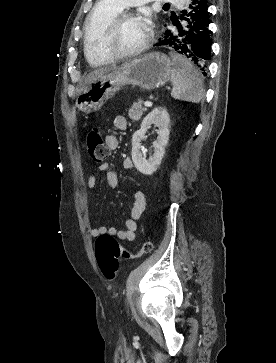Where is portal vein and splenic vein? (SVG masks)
Returning a JSON list of instances; mask_svg holds the SVG:
<instances>
[{"instance_id": "obj_1", "label": "portal vein and splenic vein", "mask_w": 276, "mask_h": 363, "mask_svg": "<svg viewBox=\"0 0 276 363\" xmlns=\"http://www.w3.org/2000/svg\"><path fill=\"white\" fill-rule=\"evenodd\" d=\"M144 106L150 107V106H152V102L146 101V102H144Z\"/></svg>"}]
</instances>
